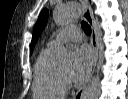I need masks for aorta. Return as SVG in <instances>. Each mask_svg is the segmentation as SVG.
I'll return each instance as SVG.
<instances>
[{
    "label": "aorta",
    "mask_w": 128,
    "mask_h": 99,
    "mask_svg": "<svg viewBox=\"0 0 128 99\" xmlns=\"http://www.w3.org/2000/svg\"><path fill=\"white\" fill-rule=\"evenodd\" d=\"M80 5L76 2H70L55 8L53 18L58 24H66L75 19L80 12ZM73 59L71 50L61 47L56 51L55 60L57 64H70ZM100 94V76H93L89 84L82 92L81 99H98Z\"/></svg>",
    "instance_id": "obj_1"
}]
</instances>
